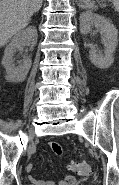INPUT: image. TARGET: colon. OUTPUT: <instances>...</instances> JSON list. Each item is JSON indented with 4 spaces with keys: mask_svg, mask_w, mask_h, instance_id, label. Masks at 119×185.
<instances>
[{
    "mask_svg": "<svg viewBox=\"0 0 119 185\" xmlns=\"http://www.w3.org/2000/svg\"><path fill=\"white\" fill-rule=\"evenodd\" d=\"M68 169L80 176L86 177L91 174V166L86 162L72 161L68 165Z\"/></svg>",
    "mask_w": 119,
    "mask_h": 185,
    "instance_id": "1",
    "label": "colon"
}]
</instances>
